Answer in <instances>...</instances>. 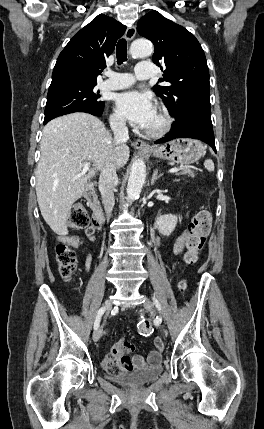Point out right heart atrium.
I'll return each mask as SVG.
<instances>
[{
	"instance_id": "right-heart-atrium-1",
	"label": "right heart atrium",
	"mask_w": 264,
	"mask_h": 429,
	"mask_svg": "<svg viewBox=\"0 0 264 429\" xmlns=\"http://www.w3.org/2000/svg\"><path fill=\"white\" fill-rule=\"evenodd\" d=\"M110 122H111V125H112V127L114 129L122 130V129L125 128V121H124V119L120 115H118L116 113H113L111 115Z\"/></svg>"
}]
</instances>
